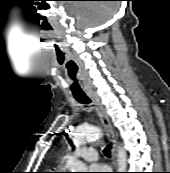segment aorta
I'll list each match as a JSON object with an SVG mask.
<instances>
[{
    "label": "aorta",
    "mask_w": 170,
    "mask_h": 173,
    "mask_svg": "<svg viewBox=\"0 0 170 173\" xmlns=\"http://www.w3.org/2000/svg\"><path fill=\"white\" fill-rule=\"evenodd\" d=\"M101 130L98 127L89 126L81 128L77 131L74 141L77 145H83L87 141L96 140L100 136ZM127 168V154L125 150L119 146L117 149V171L125 172ZM72 172H86L87 168L81 161H75L71 166Z\"/></svg>",
    "instance_id": "obj_1"
}]
</instances>
